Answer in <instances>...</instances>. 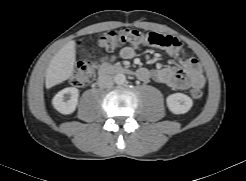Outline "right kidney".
Returning <instances> with one entry per match:
<instances>
[{"label": "right kidney", "instance_id": "obj_1", "mask_svg": "<svg viewBox=\"0 0 246 181\" xmlns=\"http://www.w3.org/2000/svg\"><path fill=\"white\" fill-rule=\"evenodd\" d=\"M66 94L70 95L69 100L64 101ZM79 91L74 87H68L58 92L52 99L54 108L61 114H71L78 105Z\"/></svg>", "mask_w": 246, "mask_h": 181}]
</instances>
